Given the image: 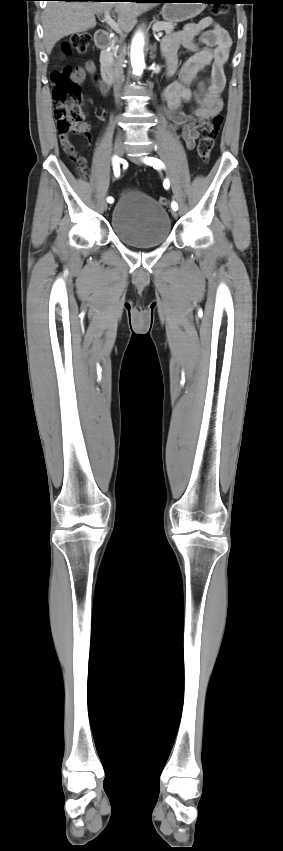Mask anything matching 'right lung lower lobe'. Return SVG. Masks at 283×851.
Returning a JSON list of instances; mask_svg holds the SVG:
<instances>
[{
  "label": "right lung lower lobe",
  "instance_id": "obj_1",
  "mask_svg": "<svg viewBox=\"0 0 283 851\" xmlns=\"http://www.w3.org/2000/svg\"><path fill=\"white\" fill-rule=\"evenodd\" d=\"M65 1H99V0H65ZM101 1V0H100ZM131 2H150V0H126Z\"/></svg>",
  "mask_w": 283,
  "mask_h": 851
}]
</instances>
